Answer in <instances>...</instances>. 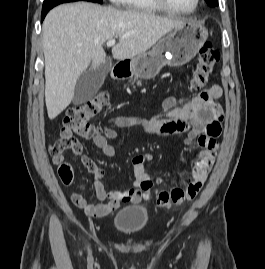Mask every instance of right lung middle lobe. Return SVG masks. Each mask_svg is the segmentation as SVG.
<instances>
[{
	"mask_svg": "<svg viewBox=\"0 0 265 269\" xmlns=\"http://www.w3.org/2000/svg\"><path fill=\"white\" fill-rule=\"evenodd\" d=\"M90 2H94V3H103V0H88Z\"/></svg>",
	"mask_w": 265,
	"mask_h": 269,
	"instance_id": "obj_1",
	"label": "right lung middle lobe"
}]
</instances>
